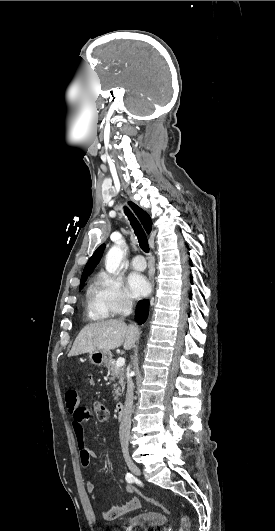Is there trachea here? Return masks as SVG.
Instances as JSON below:
<instances>
[{
  "label": "trachea",
  "mask_w": 275,
  "mask_h": 531,
  "mask_svg": "<svg viewBox=\"0 0 275 531\" xmlns=\"http://www.w3.org/2000/svg\"><path fill=\"white\" fill-rule=\"evenodd\" d=\"M124 212L128 216L130 224H131V226L134 229L135 235L138 238V242H139L140 248L145 253H148L149 252V244H148V239H147V236L145 234L144 229L142 228V226L139 223V221L135 218L133 213L128 208H124Z\"/></svg>",
  "instance_id": "trachea-1"
}]
</instances>
